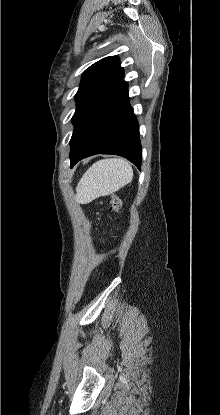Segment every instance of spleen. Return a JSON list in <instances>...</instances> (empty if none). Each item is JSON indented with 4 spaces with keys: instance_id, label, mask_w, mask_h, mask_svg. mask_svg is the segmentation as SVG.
I'll return each mask as SVG.
<instances>
[{
    "instance_id": "1",
    "label": "spleen",
    "mask_w": 220,
    "mask_h": 415,
    "mask_svg": "<svg viewBox=\"0 0 220 415\" xmlns=\"http://www.w3.org/2000/svg\"><path fill=\"white\" fill-rule=\"evenodd\" d=\"M133 169L122 158L102 159L94 163L76 187V200L86 204L100 196H107L131 182Z\"/></svg>"
}]
</instances>
